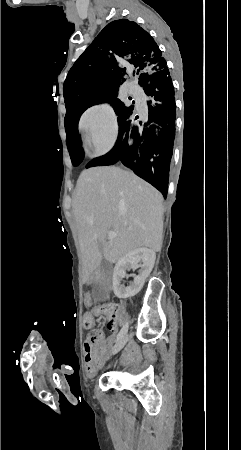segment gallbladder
Listing matches in <instances>:
<instances>
[{"label": "gallbladder", "mask_w": 241, "mask_h": 450, "mask_svg": "<svg viewBox=\"0 0 241 450\" xmlns=\"http://www.w3.org/2000/svg\"><path fill=\"white\" fill-rule=\"evenodd\" d=\"M109 266H110L109 262H107V260H105V258H102V262L100 264V270H101L100 277L102 279H105L106 281L110 280L109 272L107 271ZM92 288H93V293L95 295H99L100 298H104L105 294L109 292V289L106 288L105 283H102L101 286H99V284H93Z\"/></svg>", "instance_id": "gallbladder-1"}]
</instances>
